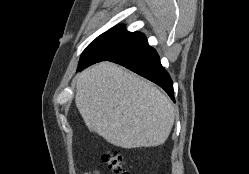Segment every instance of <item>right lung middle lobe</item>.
Segmentation results:
<instances>
[{"label":"right lung middle lobe","mask_w":249,"mask_h":174,"mask_svg":"<svg viewBox=\"0 0 249 174\" xmlns=\"http://www.w3.org/2000/svg\"><path fill=\"white\" fill-rule=\"evenodd\" d=\"M147 42L144 34L115 27L98 36L82 53L78 70L96 62L114 58Z\"/></svg>","instance_id":"dd1d6c3e"}]
</instances>
